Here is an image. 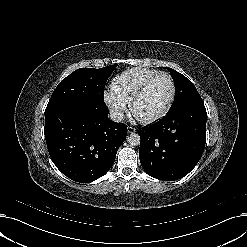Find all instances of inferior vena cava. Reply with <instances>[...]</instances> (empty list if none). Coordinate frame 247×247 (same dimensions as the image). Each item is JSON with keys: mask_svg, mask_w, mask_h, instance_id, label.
Segmentation results:
<instances>
[{"mask_svg": "<svg viewBox=\"0 0 247 247\" xmlns=\"http://www.w3.org/2000/svg\"><path fill=\"white\" fill-rule=\"evenodd\" d=\"M124 118V114L122 111L118 109H111L109 111V119L114 122H121Z\"/></svg>", "mask_w": 247, "mask_h": 247, "instance_id": "obj_1", "label": "inferior vena cava"}]
</instances>
